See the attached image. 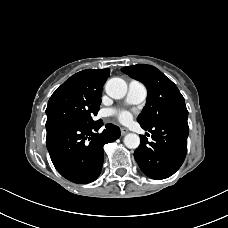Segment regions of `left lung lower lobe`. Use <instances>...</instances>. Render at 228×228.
<instances>
[{
    "label": "left lung lower lobe",
    "mask_w": 228,
    "mask_h": 228,
    "mask_svg": "<svg viewBox=\"0 0 228 228\" xmlns=\"http://www.w3.org/2000/svg\"><path fill=\"white\" fill-rule=\"evenodd\" d=\"M188 116L165 120L153 127H144L153 141L141 135V143L134 152L141 170L152 179H165L182 165L187 152ZM147 136H150L146 133Z\"/></svg>",
    "instance_id": "1"
}]
</instances>
